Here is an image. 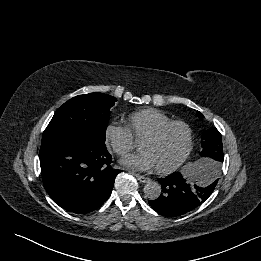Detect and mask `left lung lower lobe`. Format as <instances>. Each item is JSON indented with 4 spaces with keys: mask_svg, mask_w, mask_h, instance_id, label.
Returning a JSON list of instances; mask_svg holds the SVG:
<instances>
[{
    "mask_svg": "<svg viewBox=\"0 0 261 261\" xmlns=\"http://www.w3.org/2000/svg\"><path fill=\"white\" fill-rule=\"evenodd\" d=\"M219 168L215 164L202 165V181L194 185L188 184L180 172H174L165 178L158 179L162 194L155 200H149V205L158 213L166 217L185 214L203 202L213 193Z\"/></svg>",
    "mask_w": 261,
    "mask_h": 261,
    "instance_id": "left-lung-lower-lobe-1",
    "label": "left lung lower lobe"
}]
</instances>
